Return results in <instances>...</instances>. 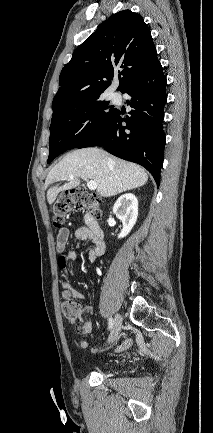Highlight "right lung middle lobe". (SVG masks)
Instances as JSON below:
<instances>
[{
    "instance_id": "right-lung-middle-lobe-1",
    "label": "right lung middle lobe",
    "mask_w": 213,
    "mask_h": 433,
    "mask_svg": "<svg viewBox=\"0 0 213 433\" xmlns=\"http://www.w3.org/2000/svg\"><path fill=\"white\" fill-rule=\"evenodd\" d=\"M115 112L100 96L62 109L51 120L47 162L95 136L108 125Z\"/></svg>"
}]
</instances>
